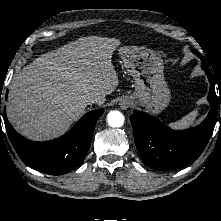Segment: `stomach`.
Returning <instances> with one entry per match:
<instances>
[{
	"mask_svg": "<svg viewBox=\"0 0 221 221\" xmlns=\"http://www.w3.org/2000/svg\"><path fill=\"white\" fill-rule=\"evenodd\" d=\"M119 54L127 73L135 80L133 93L123 98L152 114L160 113L170 102V90L164 79L160 55L138 47H121Z\"/></svg>",
	"mask_w": 221,
	"mask_h": 221,
	"instance_id": "stomach-1",
	"label": "stomach"
}]
</instances>
